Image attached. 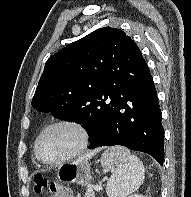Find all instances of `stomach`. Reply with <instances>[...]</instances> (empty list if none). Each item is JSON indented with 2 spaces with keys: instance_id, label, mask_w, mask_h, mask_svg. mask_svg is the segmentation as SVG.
Segmentation results:
<instances>
[{
  "instance_id": "1",
  "label": "stomach",
  "mask_w": 191,
  "mask_h": 197,
  "mask_svg": "<svg viewBox=\"0 0 191 197\" xmlns=\"http://www.w3.org/2000/svg\"><path fill=\"white\" fill-rule=\"evenodd\" d=\"M101 164L105 168L114 166L115 160L110 157L108 150L102 155ZM57 176L61 182L84 186L91 180L90 165L88 161L72 162L61 166L58 169Z\"/></svg>"
}]
</instances>
